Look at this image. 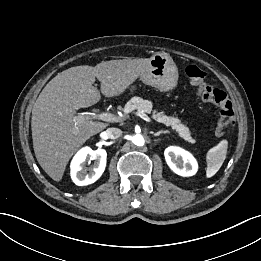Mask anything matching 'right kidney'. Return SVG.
Returning a JSON list of instances; mask_svg holds the SVG:
<instances>
[{
	"instance_id": "ca27d5eb",
	"label": "right kidney",
	"mask_w": 261,
	"mask_h": 261,
	"mask_svg": "<svg viewBox=\"0 0 261 261\" xmlns=\"http://www.w3.org/2000/svg\"><path fill=\"white\" fill-rule=\"evenodd\" d=\"M95 160L90 172L85 170L86 159ZM107 153L104 149L92 150L89 147L80 149L71 161L70 175L78 186H86L100 178L106 167Z\"/></svg>"
}]
</instances>
